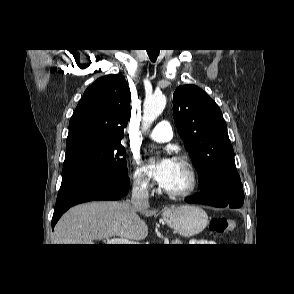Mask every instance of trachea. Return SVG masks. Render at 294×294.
Returning a JSON list of instances; mask_svg holds the SVG:
<instances>
[{"label": "trachea", "mask_w": 294, "mask_h": 294, "mask_svg": "<svg viewBox=\"0 0 294 294\" xmlns=\"http://www.w3.org/2000/svg\"><path fill=\"white\" fill-rule=\"evenodd\" d=\"M147 53L152 61H155L159 55V51L147 50Z\"/></svg>", "instance_id": "trachea-1"}]
</instances>
